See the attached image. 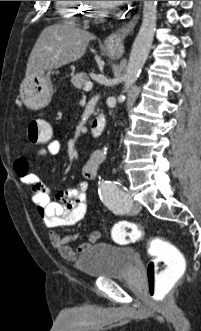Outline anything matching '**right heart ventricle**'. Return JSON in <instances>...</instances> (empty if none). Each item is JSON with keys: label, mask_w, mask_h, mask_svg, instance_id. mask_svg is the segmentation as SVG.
Segmentation results:
<instances>
[{"label": "right heart ventricle", "mask_w": 201, "mask_h": 331, "mask_svg": "<svg viewBox=\"0 0 201 331\" xmlns=\"http://www.w3.org/2000/svg\"><path fill=\"white\" fill-rule=\"evenodd\" d=\"M87 1H56V6L61 17L70 23L79 24L83 11L86 10Z\"/></svg>", "instance_id": "obj_1"}]
</instances>
